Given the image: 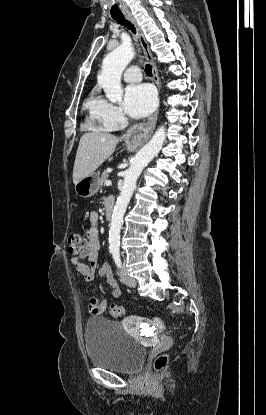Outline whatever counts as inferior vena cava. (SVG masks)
Segmentation results:
<instances>
[{
    "instance_id": "inferior-vena-cava-1",
    "label": "inferior vena cava",
    "mask_w": 266,
    "mask_h": 415,
    "mask_svg": "<svg viewBox=\"0 0 266 415\" xmlns=\"http://www.w3.org/2000/svg\"><path fill=\"white\" fill-rule=\"evenodd\" d=\"M126 123H127V122L125 121V122L122 124L121 128H123V127H124V125H125Z\"/></svg>"
}]
</instances>
